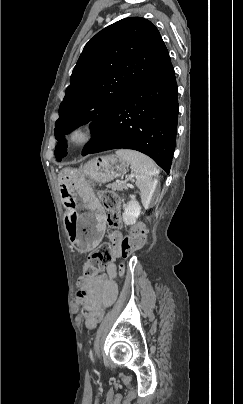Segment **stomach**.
Masks as SVG:
<instances>
[{"label":"stomach","instance_id":"1","mask_svg":"<svg viewBox=\"0 0 243 404\" xmlns=\"http://www.w3.org/2000/svg\"><path fill=\"white\" fill-rule=\"evenodd\" d=\"M125 169V161L112 154L91 159L79 170L65 168L60 173V193L67 207L64 225L77 251L93 250L100 243L106 227L105 211L87 179L107 183L120 177Z\"/></svg>","mask_w":243,"mask_h":404}]
</instances>
